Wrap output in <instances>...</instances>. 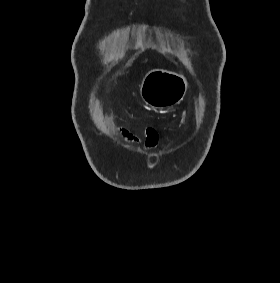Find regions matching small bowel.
I'll list each match as a JSON object with an SVG mask.
<instances>
[{
    "label": "small bowel",
    "instance_id": "obj_1",
    "mask_svg": "<svg viewBox=\"0 0 280 283\" xmlns=\"http://www.w3.org/2000/svg\"><path fill=\"white\" fill-rule=\"evenodd\" d=\"M118 133L129 143L140 146L142 144L141 140L137 135L126 128H119ZM144 146L147 149H155L158 146V133L154 128H149L146 132V139Z\"/></svg>",
    "mask_w": 280,
    "mask_h": 283
}]
</instances>
